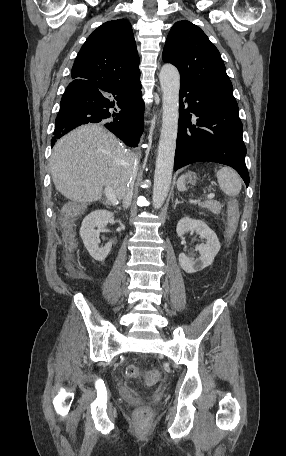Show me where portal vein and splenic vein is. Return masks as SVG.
I'll return each mask as SVG.
<instances>
[{
    "label": "portal vein and splenic vein",
    "instance_id": "obj_1",
    "mask_svg": "<svg viewBox=\"0 0 286 456\" xmlns=\"http://www.w3.org/2000/svg\"><path fill=\"white\" fill-rule=\"evenodd\" d=\"M105 194H106V197L108 198V200L111 201V203L113 205L118 204V201H117V199H116V197L114 195V192H113V190L111 188L106 187L105 188ZM214 196L215 195L213 193H210V194L207 195V199H213Z\"/></svg>",
    "mask_w": 286,
    "mask_h": 456
}]
</instances>
